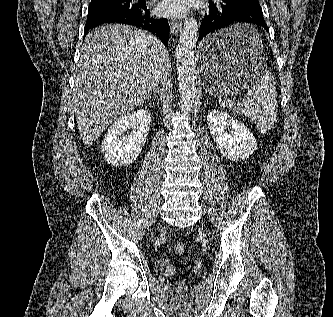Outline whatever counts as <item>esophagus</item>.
<instances>
[{"instance_id":"esophagus-1","label":"esophagus","mask_w":333,"mask_h":317,"mask_svg":"<svg viewBox=\"0 0 333 317\" xmlns=\"http://www.w3.org/2000/svg\"><path fill=\"white\" fill-rule=\"evenodd\" d=\"M170 28H171V32L176 35L178 32L181 31L182 24H181L180 21L171 20L170 21Z\"/></svg>"}]
</instances>
